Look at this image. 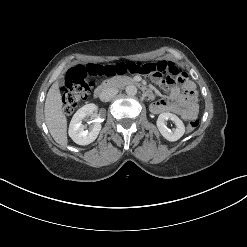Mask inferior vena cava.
Wrapping results in <instances>:
<instances>
[{
  "instance_id": "602c4592",
  "label": "inferior vena cava",
  "mask_w": 247,
  "mask_h": 247,
  "mask_svg": "<svg viewBox=\"0 0 247 247\" xmlns=\"http://www.w3.org/2000/svg\"><path fill=\"white\" fill-rule=\"evenodd\" d=\"M118 93L117 88H107L102 91L100 99L104 102L111 100Z\"/></svg>"
}]
</instances>
